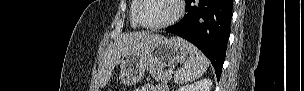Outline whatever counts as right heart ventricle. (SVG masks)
Returning <instances> with one entry per match:
<instances>
[{
    "instance_id": "right-heart-ventricle-1",
    "label": "right heart ventricle",
    "mask_w": 304,
    "mask_h": 91,
    "mask_svg": "<svg viewBox=\"0 0 304 91\" xmlns=\"http://www.w3.org/2000/svg\"><path fill=\"white\" fill-rule=\"evenodd\" d=\"M136 7H137V1H133L132 2V6H131V10H130V22H131V26L133 28H138L139 27V24L135 18V10H136Z\"/></svg>"
}]
</instances>
